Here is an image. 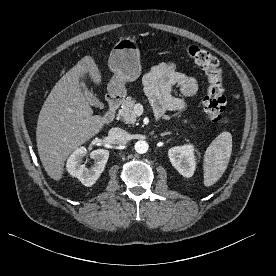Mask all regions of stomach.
I'll return each mask as SVG.
<instances>
[{
  "mask_svg": "<svg viewBox=\"0 0 276 276\" xmlns=\"http://www.w3.org/2000/svg\"><path fill=\"white\" fill-rule=\"evenodd\" d=\"M108 66L114 73L107 90L111 96L124 93L126 82L135 81L140 74V52L134 40L122 39L113 47Z\"/></svg>",
  "mask_w": 276,
  "mask_h": 276,
  "instance_id": "obj_1",
  "label": "stomach"
}]
</instances>
